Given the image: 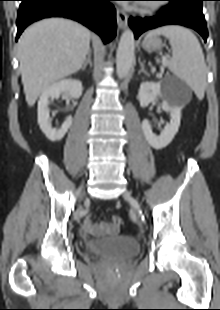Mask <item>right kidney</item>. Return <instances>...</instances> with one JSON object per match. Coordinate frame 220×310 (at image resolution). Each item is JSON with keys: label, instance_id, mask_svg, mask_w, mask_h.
<instances>
[{"label": "right kidney", "instance_id": "1", "mask_svg": "<svg viewBox=\"0 0 220 310\" xmlns=\"http://www.w3.org/2000/svg\"><path fill=\"white\" fill-rule=\"evenodd\" d=\"M82 91V83L79 80L62 79L52 83L42 92L38 101V124L50 141H60L65 136L72 124V117L69 116L60 128H52L49 123V100L58 98L62 93H68L73 99H78L82 95Z\"/></svg>", "mask_w": 220, "mask_h": 310}]
</instances>
